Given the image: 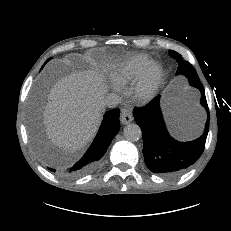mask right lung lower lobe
Returning a JSON list of instances; mask_svg holds the SVG:
<instances>
[{
  "label": "right lung lower lobe",
  "instance_id": "1",
  "mask_svg": "<svg viewBox=\"0 0 231 231\" xmlns=\"http://www.w3.org/2000/svg\"><path fill=\"white\" fill-rule=\"evenodd\" d=\"M119 115V109L111 110L104 115L100 129L88 151L75 164L62 169V174L69 177H77L96 169L99 160L105 154L112 139L120 129ZM49 170L55 172V169L49 168Z\"/></svg>",
  "mask_w": 231,
  "mask_h": 231
}]
</instances>
